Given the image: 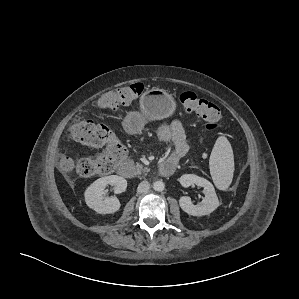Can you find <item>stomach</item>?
<instances>
[{"label":"stomach","mask_w":299,"mask_h":299,"mask_svg":"<svg viewBox=\"0 0 299 299\" xmlns=\"http://www.w3.org/2000/svg\"><path fill=\"white\" fill-rule=\"evenodd\" d=\"M177 104L171 94L163 89L152 88L140 97V111L131 112L126 118V128L131 133L139 132L146 121L162 120L172 116Z\"/></svg>","instance_id":"stomach-1"}]
</instances>
